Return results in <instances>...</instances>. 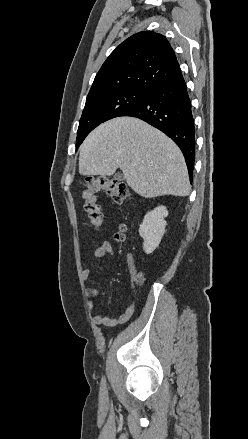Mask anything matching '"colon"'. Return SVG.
<instances>
[{
    "label": "colon",
    "mask_w": 248,
    "mask_h": 439,
    "mask_svg": "<svg viewBox=\"0 0 248 439\" xmlns=\"http://www.w3.org/2000/svg\"><path fill=\"white\" fill-rule=\"evenodd\" d=\"M99 191H105L116 203L124 202L129 191L126 185L118 180L108 179L105 177L89 178L86 181V190L84 191V209L88 215L91 225L99 229L102 225L103 215L95 194ZM125 228L121 227L120 232L116 235L117 239H124ZM135 280L142 282L143 275L137 274Z\"/></svg>",
    "instance_id": "1"
}]
</instances>
